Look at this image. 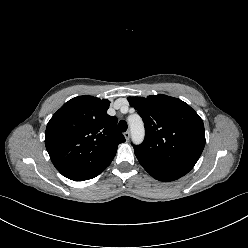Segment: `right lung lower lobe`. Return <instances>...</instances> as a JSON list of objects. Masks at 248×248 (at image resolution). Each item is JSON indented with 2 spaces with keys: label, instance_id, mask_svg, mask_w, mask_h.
Wrapping results in <instances>:
<instances>
[{
  "label": "right lung lower lobe",
  "instance_id": "obj_1",
  "mask_svg": "<svg viewBox=\"0 0 248 248\" xmlns=\"http://www.w3.org/2000/svg\"><path fill=\"white\" fill-rule=\"evenodd\" d=\"M110 163L111 161L101 166L88 169V170H63L59 172L71 180L84 181V180L92 179L96 177L97 175H99L106 167L109 166Z\"/></svg>",
  "mask_w": 248,
  "mask_h": 248
}]
</instances>
